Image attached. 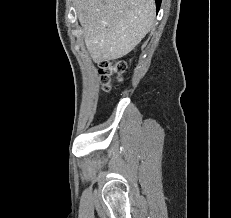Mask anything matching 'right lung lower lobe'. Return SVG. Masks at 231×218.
Returning <instances> with one entry per match:
<instances>
[{"instance_id": "98d812e1", "label": "right lung lower lobe", "mask_w": 231, "mask_h": 218, "mask_svg": "<svg viewBox=\"0 0 231 218\" xmlns=\"http://www.w3.org/2000/svg\"><path fill=\"white\" fill-rule=\"evenodd\" d=\"M155 2H156V8H157V11H158L159 8H160L161 0H155Z\"/></svg>"}]
</instances>
